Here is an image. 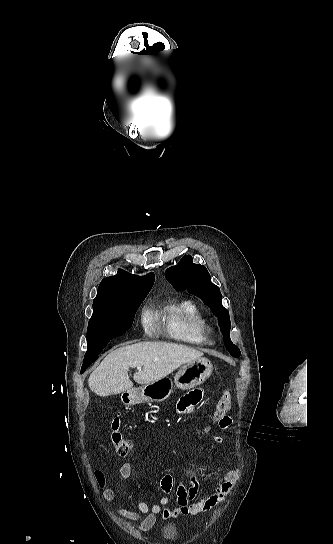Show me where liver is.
Listing matches in <instances>:
<instances>
[{"label": "liver", "mask_w": 333, "mask_h": 544, "mask_svg": "<svg viewBox=\"0 0 333 544\" xmlns=\"http://www.w3.org/2000/svg\"><path fill=\"white\" fill-rule=\"evenodd\" d=\"M203 353L189 346L145 341L111 351L91 373L88 385L99 396L130 391V367L143 366L133 376L138 384H148L172 373L178 367L201 358Z\"/></svg>", "instance_id": "6515ba94"}]
</instances>
